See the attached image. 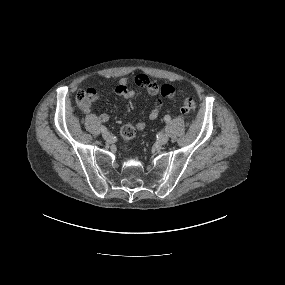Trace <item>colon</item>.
<instances>
[{
  "mask_svg": "<svg viewBox=\"0 0 285 285\" xmlns=\"http://www.w3.org/2000/svg\"><path fill=\"white\" fill-rule=\"evenodd\" d=\"M91 92H92V89L80 92L78 94V99L82 102H85L88 99ZM195 108H196L195 99H193L192 97H185L183 99L182 109L185 113H191L195 110ZM135 134H136V129H135L134 125L131 123H126L121 129L122 138L126 142L132 140L134 138Z\"/></svg>",
  "mask_w": 285,
  "mask_h": 285,
  "instance_id": "5ec220e1",
  "label": "colon"
}]
</instances>
